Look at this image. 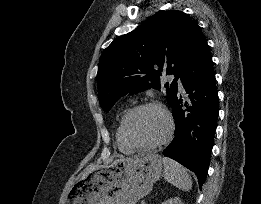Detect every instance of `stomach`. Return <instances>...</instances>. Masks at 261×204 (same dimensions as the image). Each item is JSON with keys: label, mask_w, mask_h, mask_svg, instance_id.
<instances>
[{"label": "stomach", "mask_w": 261, "mask_h": 204, "mask_svg": "<svg viewBox=\"0 0 261 204\" xmlns=\"http://www.w3.org/2000/svg\"><path fill=\"white\" fill-rule=\"evenodd\" d=\"M162 165L158 154L148 153L97 167L72 186L65 204H136L159 180Z\"/></svg>", "instance_id": "obj_1"}]
</instances>
